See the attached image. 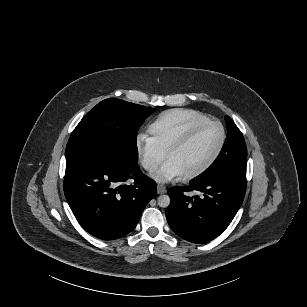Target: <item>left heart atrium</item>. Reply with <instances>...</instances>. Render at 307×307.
<instances>
[{
    "label": "left heart atrium",
    "mask_w": 307,
    "mask_h": 307,
    "mask_svg": "<svg viewBox=\"0 0 307 307\" xmlns=\"http://www.w3.org/2000/svg\"><path fill=\"white\" fill-rule=\"evenodd\" d=\"M183 174L181 171L170 161L166 162L160 170L155 174V178L159 182H167L174 178H180Z\"/></svg>",
    "instance_id": "obj_1"
}]
</instances>
